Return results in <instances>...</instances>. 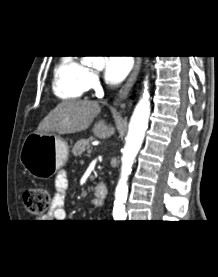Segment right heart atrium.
Masks as SVG:
<instances>
[{
    "instance_id": "obj_1",
    "label": "right heart atrium",
    "mask_w": 218,
    "mask_h": 277,
    "mask_svg": "<svg viewBox=\"0 0 218 277\" xmlns=\"http://www.w3.org/2000/svg\"><path fill=\"white\" fill-rule=\"evenodd\" d=\"M87 85L89 88H95L99 85V76L94 71H89L87 76Z\"/></svg>"
}]
</instances>
